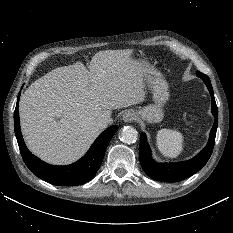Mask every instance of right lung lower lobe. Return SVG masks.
Here are the masks:
<instances>
[{
  "label": "right lung lower lobe",
  "mask_w": 233,
  "mask_h": 233,
  "mask_svg": "<svg viewBox=\"0 0 233 233\" xmlns=\"http://www.w3.org/2000/svg\"><path fill=\"white\" fill-rule=\"evenodd\" d=\"M14 112V129L22 158L37 177L59 186H76L81 185L93 178L99 166L102 163L106 148L118 129L117 125H113L106 129L92 144L89 151L79 161L68 166L49 165L36 156H34L26 147L19 124L18 101Z\"/></svg>",
  "instance_id": "obj_1"
}]
</instances>
